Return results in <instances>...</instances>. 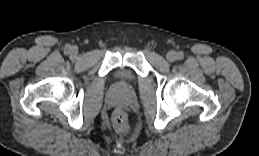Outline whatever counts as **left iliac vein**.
<instances>
[{
    "label": "left iliac vein",
    "instance_id": "left-iliac-vein-1",
    "mask_svg": "<svg viewBox=\"0 0 259 156\" xmlns=\"http://www.w3.org/2000/svg\"><path fill=\"white\" fill-rule=\"evenodd\" d=\"M166 58L169 62H174L177 59V54L174 51H169Z\"/></svg>",
    "mask_w": 259,
    "mask_h": 156
}]
</instances>
